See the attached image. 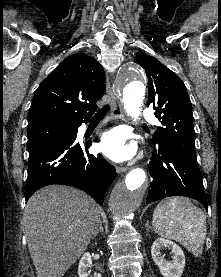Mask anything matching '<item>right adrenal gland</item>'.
<instances>
[{"label":"right adrenal gland","instance_id":"1","mask_svg":"<svg viewBox=\"0 0 221 277\" xmlns=\"http://www.w3.org/2000/svg\"><path fill=\"white\" fill-rule=\"evenodd\" d=\"M99 232L104 233V229H103V226H102V222H100L99 228H98V230L95 232L94 237H96L97 234H98Z\"/></svg>","mask_w":221,"mask_h":277}]
</instances>
